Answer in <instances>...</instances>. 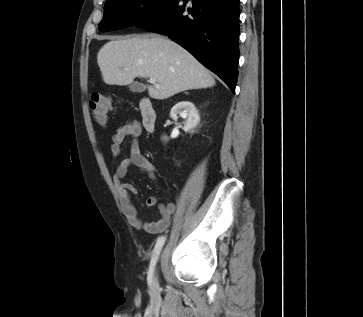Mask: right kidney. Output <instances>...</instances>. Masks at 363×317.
Segmentation results:
<instances>
[{
  "label": "right kidney",
  "mask_w": 363,
  "mask_h": 317,
  "mask_svg": "<svg viewBox=\"0 0 363 317\" xmlns=\"http://www.w3.org/2000/svg\"><path fill=\"white\" fill-rule=\"evenodd\" d=\"M180 115L185 121L183 122V130L185 132H193V129L200 121V116L195 105L189 101H182L173 106L170 111V116L173 119H177V115ZM167 139V137H163Z\"/></svg>",
  "instance_id": "ca27d5eb"
}]
</instances>
